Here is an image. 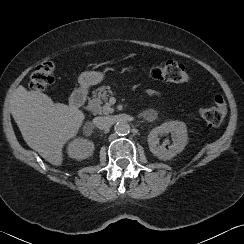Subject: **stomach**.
I'll use <instances>...</instances> for the list:
<instances>
[{
	"mask_svg": "<svg viewBox=\"0 0 244 244\" xmlns=\"http://www.w3.org/2000/svg\"><path fill=\"white\" fill-rule=\"evenodd\" d=\"M104 76L100 72L91 71L85 72L79 77V84L82 87H90L100 83L103 80Z\"/></svg>",
	"mask_w": 244,
	"mask_h": 244,
	"instance_id": "obj_1",
	"label": "stomach"
}]
</instances>
